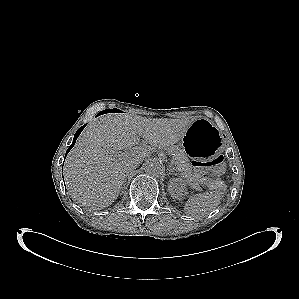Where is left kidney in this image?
<instances>
[{
	"label": "left kidney",
	"instance_id": "5707ae66",
	"mask_svg": "<svg viewBox=\"0 0 299 299\" xmlns=\"http://www.w3.org/2000/svg\"><path fill=\"white\" fill-rule=\"evenodd\" d=\"M185 183L181 178H172L168 183V192L174 199L180 200L186 193Z\"/></svg>",
	"mask_w": 299,
	"mask_h": 299
}]
</instances>
